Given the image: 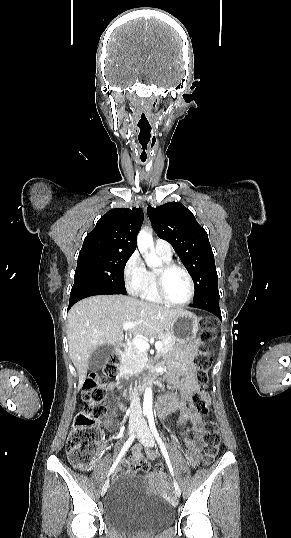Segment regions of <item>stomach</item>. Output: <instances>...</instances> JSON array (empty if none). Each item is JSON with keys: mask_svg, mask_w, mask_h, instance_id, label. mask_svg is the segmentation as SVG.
<instances>
[{"mask_svg": "<svg viewBox=\"0 0 291 538\" xmlns=\"http://www.w3.org/2000/svg\"><path fill=\"white\" fill-rule=\"evenodd\" d=\"M170 334L175 341L184 344L192 341L198 332V318L191 312L177 315L169 326Z\"/></svg>", "mask_w": 291, "mask_h": 538, "instance_id": "stomach-1", "label": "stomach"}]
</instances>
